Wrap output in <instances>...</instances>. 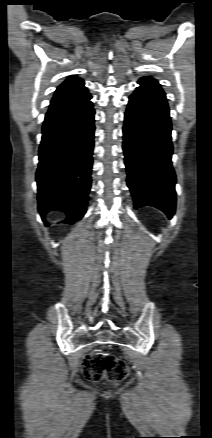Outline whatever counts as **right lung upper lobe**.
I'll use <instances>...</instances> for the list:
<instances>
[{"label": "right lung upper lobe", "mask_w": 212, "mask_h": 438, "mask_svg": "<svg viewBox=\"0 0 212 438\" xmlns=\"http://www.w3.org/2000/svg\"><path fill=\"white\" fill-rule=\"evenodd\" d=\"M84 81L77 77L67 78L55 91L51 103L77 99L88 94Z\"/></svg>", "instance_id": "1"}]
</instances>
